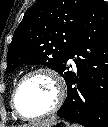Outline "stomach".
<instances>
[{"instance_id":"stomach-1","label":"stomach","mask_w":108,"mask_h":127,"mask_svg":"<svg viewBox=\"0 0 108 127\" xmlns=\"http://www.w3.org/2000/svg\"><path fill=\"white\" fill-rule=\"evenodd\" d=\"M43 127H72L70 125L69 122L65 121V120H55L54 122H52L51 124L47 125V126H43Z\"/></svg>"}]
</instances>
